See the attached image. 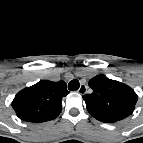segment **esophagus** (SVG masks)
<instances>
[{
    "label": "esophagus",
    "instance_id": "esophagus-1",
    "mask_svg": "<svg viewBox=\"0 0 143 143\" xmlns=\"http://www.w3.org/2000/svg\"><path fill=\"white\" fill-rule=\"evenodd\" d=\"M86 90H87V86L85 84H81L79 89H78V93L83 95L86 93Z\"/></svg>",
    "mask_w": 143,
    "mask_h": 143
}]
</instances>
